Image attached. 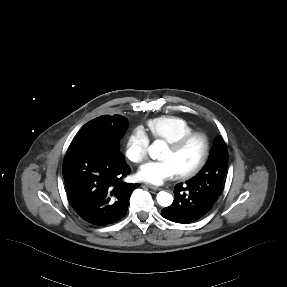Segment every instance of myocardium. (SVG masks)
<instances>
[{"label": "myocardium", "instance_id": "myocardium-1", "mask_svg": "<svg viewBox=\"0 0 287 287\" xmlns=\"http://www.w3.org/2000/svg\"><path fill=\"white\" fill-rule=\"evenodd\" d=\"M194 140H200L202 143L201 156L194 166L178 173L179 178L187 179L193 177L202 170L210 154V141L206 134L202 132H192L190 134L183 136L182 138L178 139L175 142L168 143L169 149H171L174 153H179Z\"/></svg>", "mask_w": 287, "mask_h": 287}]
</instances>
